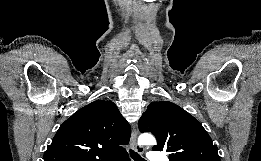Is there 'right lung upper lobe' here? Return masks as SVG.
Masks as SVG:
<instances>
[{
	"label": "right lung upper lobe",
	"instance_id": "obj_1",
	"mask_svg": "<svg viewBox=\"0 0 261 161\" xmlns=\"http://www.w3.org/2000/svg\"><path fill=\"white\" fill-rule=\"evenodd\" d=\"M131 128L112 101L96 100L58 129L44 161H112L126 153Z\"/></svg>",
	"mask_w": 261,
	"mask_h": 161
}]
</instances>
